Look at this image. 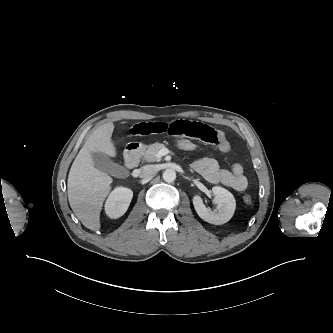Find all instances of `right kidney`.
Masks as SVG:
<instances>
[{
    "label": "right kidney",
    "instance_id": "ca27d5eb",
    "mask_svg": "<svg viewBox=\"0 0 333 333\" xmlns=\"http://www.w3.org/2000/svg\"><path fill=\"white\" fill-rule=\"evenodd\" d=\"M133 197V192L129 188L117 187L109 196L105 204L106 214L112 218L116 219L124 215L127 211L131 199Z\"/></svg>",
    "mask_w": 333,
    "mask_h": 333
}]
</instances>
